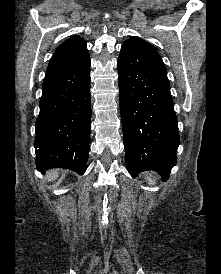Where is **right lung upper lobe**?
Instances as JSON below:
<instances>
[{
    "mask_svg": "<svg viewBox=\"0 0 221 274\" xmlns=\"http://www.w3.org/2000/svg\"><path fill=\"white\" fill-rule=\"evenodd\" d=\"M89 59L86 42L78 36H73L56 49L50 59L45 78L80 66Z\"/></svg>",
    "mask_w": 221,
    "mask_h": 274,
    "instance_id": "obj_1",
    "label": "right lung upper lobe"
}]
</instances>
